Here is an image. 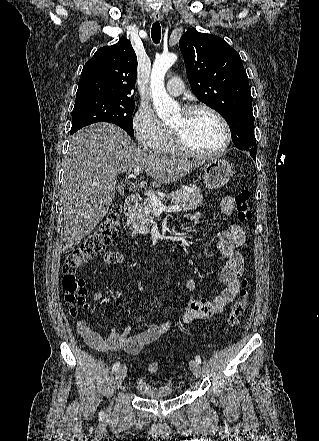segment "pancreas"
<instances>
[{
    "label": "pancreas",
    "mask_w": 319,
    "mask_h": 441,
    "mask_svg": "<svg viewBox=\"0 0 319 441\" xmlns=\"http://www.w3.org/2000/svg\"><path fill=\"white\" fill-rule=\"evenodd\" d=\"M167 200L175 206H179V210L187 212L192 209H196L203 203V196L200 189L190 184L188 189H181L176 192H171L166 195ZM154 206L150 198L145 199L139 204V206L132 212L128 219L129 230L132 235L146 234L150 230L149 224L152 222V215L154 214Z\"/></svg>",
    "instance_id": "obj_1"
}]
</instances>
